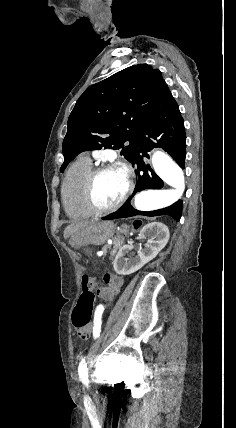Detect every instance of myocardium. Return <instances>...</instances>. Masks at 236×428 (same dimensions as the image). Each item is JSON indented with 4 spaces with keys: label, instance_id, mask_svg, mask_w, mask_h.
<instances>
[{
    "label": "myocardium",
    "instance_id": "obj_1",
    "mask_svg": "<svg viewBox=\"0 0 236 428\" xmlns=\"http://www.w3.org/2000/svg\"><path fill=\"white\" fill-rule=\"evenodd\" d=\"M112 169L122 170L126 174L127 181H128L127 189L124 195L122 196V198L118 202L111 205H102L97 201L94 194L95 182L101 174ZM134 188H135L134 173L132 169L125 163L108 162V163L99 164L96 167L91 169V171L88 173V175L84 180L82 194H83V199L86 206L92 212L108 213L121 208L132 196L134 192Z\"/></svg>",
    "mask_w": 236,
    "mask_h": 428
}]
</instances>
